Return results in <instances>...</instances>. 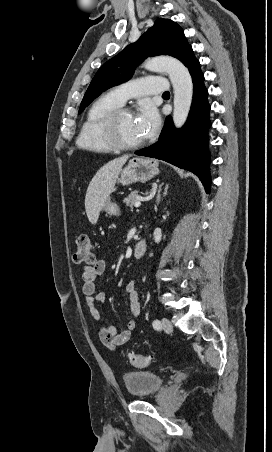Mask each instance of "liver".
<instances>
[{
  "label": "liver",
  "mask_w": 272,
  "mask_h": 452,
  "mask_svg": "<svg viewBox=\"0 0 272 452\" xmlns=\"http://www.w3.org/2000/svg\"><path fill=\"white\" fill-rule=\"evenodd\" d=\"M129 156L116 158L101 167L92 178L85 196V210L91 224L95 225L100 211L110 194Z\"/></svg>",
  "instance_id": "obj_1"
}]
</instances>
